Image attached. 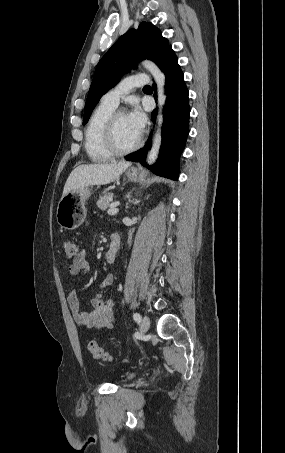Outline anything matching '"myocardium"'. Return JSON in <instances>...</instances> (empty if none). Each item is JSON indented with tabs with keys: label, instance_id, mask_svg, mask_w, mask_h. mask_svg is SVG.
I'll return each instance as SVG.
<instances>
[{
	"label": "myocardium",
	"instance_id": "1",
	"mask_svg": "<svg viewBox=\"0 0 285 453\" xmlns=\"http://www.w3.org/2000/svg\"><path fill=\"white\" fill-rule=\"evenodd\" d=\"M126 114L124 110L118 109L112 112V114L108 117L105 127H104V132H103V138H104V143L106 148L109 150V152L112 155L115 156H121V155H126L131 152H134L138 148L141 147L143 143V137L140 135L139 139L135 144H133L130 147L122 148L118 145L117 139H116V122L119 116Z\"/></svg>",
	"mask_w": 285,
	"mask_h": 453
}]
</instances>
